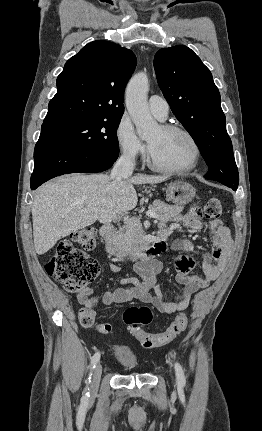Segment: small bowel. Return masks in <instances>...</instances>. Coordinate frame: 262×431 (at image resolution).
<instances>
[{
	"instance_id": "c3829d8e",
	"label": "small bowel",
	"mask_w": 262,
	"mask_h": 431,
	"mask_svg": "<svg viewBox=\"0 0 262 431\" xmlns=\"http://www.w3.org/2000/svg\"><path fill=\"white\" fill-rule=\"evenodd\" d=\"M177 221L191 231L196 232L202 228L198 209L178 217ZM173 232L174 228L164 224L159 225L160 238H165ZM210 236L212 238L211 250L198 256L201 274H188L194 264L190 257L182 256L176 261V282L181 286V290L175 297L169 298L158 282L159 274L163 269L161 262L154 257H147L135 264L134 270L139 276V280L130 277L121 278L119 282L122 286L106 291L103 295V303L111 306L140 301L153 305L161 313H174L186 309L196 293L207 288L220 277L230 257L232 246L230 230L220 220L210 222ZM174 248L183 253L195 254V246L190 238L176 239ZM109 267L113 273L120 272V267L116 263H110ZM74 299L83 306L81 312L87 311L95 317L94 307L97 299L93 297L91 288L76 293Z\"/></svg>"
}]
</instances>
